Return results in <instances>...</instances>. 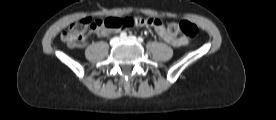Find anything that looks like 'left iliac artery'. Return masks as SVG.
Instances as JSON below:
<instances>
[{"label": "left iliac artery", "mask_w": 276, "mask_h": 120, "mask_svg": "<svg viewBox=\"0 0 276 120\" xmlns=\"http://www.w3.org/2000/svg\"><path fill=\"white\" fill-rule=\"evenodd\" d=\"M138 41L142 43L144 40L142 37H138Z\"/></svg>", "instance_id": "obj_1"}]
</instances>
